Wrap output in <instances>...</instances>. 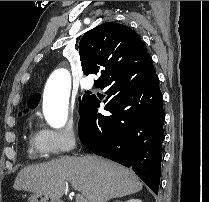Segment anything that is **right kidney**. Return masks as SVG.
<instances>
[{
	"instance_id": "1",
	"label": "right kidney",
	"mask_w": 209,
	"mask_h": 202,
	"mask_svg": "<svg viewBox=\"0 0 209 202\" xmlns=\"http://www.w3.org/2000/svg\"><path fill=\"white\" fill-rule=\"evenodd\" d=\"M114 202H121V201L116 200V201H114ZM126 202H142V201L139 200V199H130V200L126 201Z\"/></svg>"
}]
</instances>
